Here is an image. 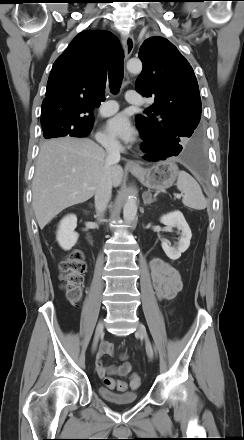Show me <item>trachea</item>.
Returning <instances> with one entry per match:
<instances>
[{"label":"trachea","instance_id":"3493384b","mask_svg":"<svg viewBox=\"0 0 244 440\" xmlns=\"http://www.w3.org/2000/svg\"><path fill=\"white\" fill-rule=\"evenodd\" d=\"M109 87L112 93H117L120 90L121 83L124 76L123 54H117L110 63L109 70Z\"/></svg>","mask_w":244,"mask_h":440}]
</instances>
